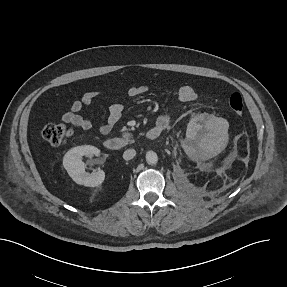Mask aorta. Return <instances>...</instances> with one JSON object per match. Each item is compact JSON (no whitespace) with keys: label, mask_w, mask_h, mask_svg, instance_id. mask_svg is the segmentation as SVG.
Here are the masks:
<instances>
[{"label":"aorta","mask_w":287,"mask_h":287,"mask_svg":"<svg viewBox=\"0 0 287 287\" xmlns=\"http://www.w3.org/2000/svg\"><path fill=\"white\" fill-rule=\"evenodd\" d=\"M146 161L150 165H154L158 162V156L155 152L153 151H148L146 153Z\"/></svg>","instance_id":"aorta-1"}]
</instances>
